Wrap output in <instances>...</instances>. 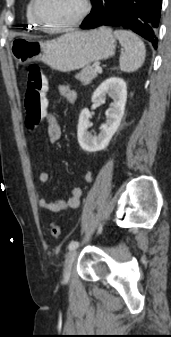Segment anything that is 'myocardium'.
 <instances>
[{
  "mask_svg": "<svg viewBox=\"0 0 171 337\" xmlns=\"http://www.w3.org/2000/svg\"><path fill=\"white\" fill-rule=\"evenodd\" d=\"M41 0H33V16L36 20V22L46 31L50 32H61V31H66L69 30L77 25H79L81 22H83L86 17L89 15L90 10H91V2L90 0H82V10L80 14L74 18L73 20L65 23V24H60V25H51L47 23L40 15L39 11V5H40Z\"/></svg>",
  "mask_w": 171,
  "mask_h": 337,
  "instance_id": "f54148a6",
  "label": "myocardium"
}]
</instances>
